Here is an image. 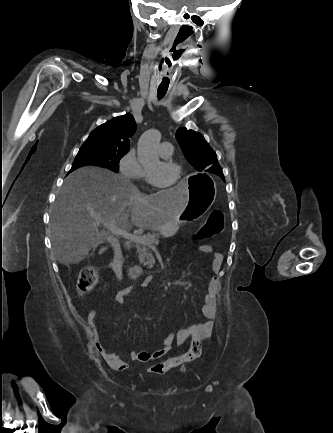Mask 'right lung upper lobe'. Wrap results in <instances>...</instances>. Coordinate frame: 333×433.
Segmentation results:
<instances>
[{"instance_id":"right-lung-upper-lobe-1","label":"right lung upper lobe","mask_w":333,"mask_h":433,"mask_svg":"<svg viewBox=\"0 0 333 433\" xmlns=\"http://www.w3.org/2000/svg\"><path fill=\"white\" fill-rule=\"evenodd\" d=\"M136 131L135 119L131 114L113 118L91 132L85 143L102 147L129 150V138Z\"/></svg>"}]
</instances>
